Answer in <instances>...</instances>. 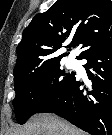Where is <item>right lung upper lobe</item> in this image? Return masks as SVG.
<instances>
[{"label":"right lung upper lobe","mask_w":112,"mask_h":135,"mask_svg":"<svg viewBox=\"0 0 112 135\" xmlns=\"http://www.w3.org/2000/svg\"><path fill=\"white\" fill-rule=\"evenodd\" d=\"M65 41H70L65 47H80L78 59L112 45V1L57 0L48 11L37 14L17 47L14 77L60 61L66 53L56 56V51Z\"/></svg>","instance_id":"obj_1"}]
</instances>
